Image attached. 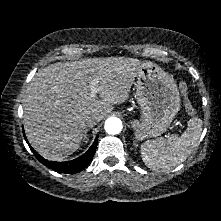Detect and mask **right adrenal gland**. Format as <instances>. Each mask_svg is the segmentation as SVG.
Segmentation results:
<instances>
[{"mask_svg": "<svg viewBox=\"0 0 221 221\" xmlns=\"http://www.w3.org/2000/svg\"><path fill=\"white\" fill-rule=\"evenodd\" d=\"M89 130H90V128H87V129L85 130V132H84V137H83V142H85V140L88 139L87 133H88Z\"/></svg>", "mask_w": 221, "mask_h": 221, "instance_id": "right-adrenal-gland-1", "label": "right adrenal gland"}]
</instances>
